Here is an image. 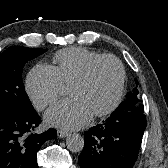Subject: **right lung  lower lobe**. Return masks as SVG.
Wrapping results in <instances>:
<instances>
[{
	"label": "right lung lower lobe",
	"instance_id": "obj_1",
	"mask_svg": "<svg viewBox=\"0 0 168 168\" xmlns=\"http://www.w3.org/2000/svg\"><path fill=\"white\" fill-rule=\"evenodd\" d=\"M41 119L35 110L0 107V168H38L37 152L56 130L38 134Z\"/></svg>",
	"mask_w": 168,
	"mask_h": 168
}]
</instances>
